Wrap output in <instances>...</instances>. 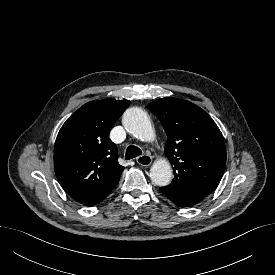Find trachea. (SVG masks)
<instances>
[{
	"label": "trachea",
	"mask_w": 275,
	"mask_h": 275,
	"mask_svg": "<svg viewBox=\"0 0 275 275\" xmlns=\"http://www.w3.org/2000/svg\"><path fill=\"white\" fill-rule=\"evenodd\" d=\"M141 154H142V151L140 148H138L137 146L131 145L126 150L125 159L130 160L140 156Z\"/></svg>",
	"instance_id": "1"
}]
</instances>
